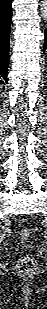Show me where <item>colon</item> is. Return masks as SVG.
Returning a JSON list of instances; mask_svg holds the SVG:
<instances>
[{
  "instance_id": "colon-1",
  "label": "colon",
  "mask_w": 47,
  "mask_h": 309,
  "mask_svg": "<svg viewBox=\"0 0 47 309\" xmlns=\"http://www.w3.org/2000/svg\"><path fill=\"white\" fill-rule=\"evenodd\" d=\"M31 237V231L29 229H22L19 232V239L21 240V242L23 244H25L26 242H28V240ZM18 269L20 272L25 273V274H29L32 273L36 267H37V262L35 259L25 256L22 257L19 261H18Z\"/></svg>"
}]
</instances>
